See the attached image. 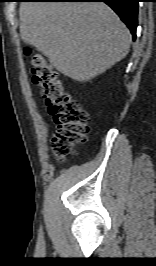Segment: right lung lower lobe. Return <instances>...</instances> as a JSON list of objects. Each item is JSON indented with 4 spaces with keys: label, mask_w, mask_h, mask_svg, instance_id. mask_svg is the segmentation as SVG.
<instances>
[{
    "label": "right lung lower lobe",
    "mask_w": 156,
    "mask_h": 266,
    "mask_svg": "<svg viewBox=\"0 0 156 266\" xmlns=\"http://www.w3.org/2000/svg\"><path fill=\"white\" fill-rule=\"evenodd\" d=\"M46 2H104L109 5L136 37L139 0H33Z\"/></svg>",
    "instance_id": "right-lung-lower-lobe-1"
}]
</instances>
